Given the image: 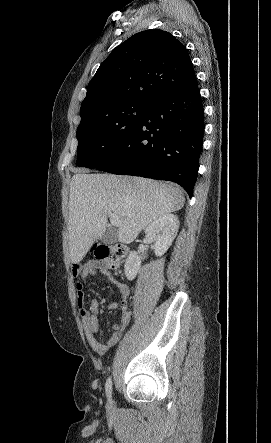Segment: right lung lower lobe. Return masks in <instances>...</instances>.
Masks as SVG:
<instances>
[{
    "label": "right lung lower lobe",
    "mask_w": 271,
    "mask_h": 443,
    "mask_svg": "<svg viewBox=\"0 0 271 443\" xmlns=\"http://www.w3.org/2000/svg\"><path fill=\"white\" fill-rule=\"evenodd\" d=\"M204 134L197 84L156 97L139 124L97 170L173 181L193 195Z\"/></svg>",
    "instance_id": "right-lung-lower-lobe-1"
}]
</instances>
